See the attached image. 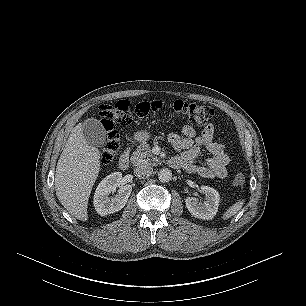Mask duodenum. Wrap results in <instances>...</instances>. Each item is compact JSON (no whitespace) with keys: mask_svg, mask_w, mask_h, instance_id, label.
<instances>
[{"mask_svg":"<svg viewBox=\"0 0 306 306\" xmlns=\"http://www.w3.org/2000/svg\"><path fill=\"white\" fill-rule=\"evenodd\" d=\"M130 149L126 148V150L122 153V155L119 158L118 166L121 170H126L129 167L130 163V156H129ZM175 168H179L176 166Z\"/></svg>","mask_w":306,"mask_h":306,"instance_id":"1","label":"duodenum"}]
</instances>
